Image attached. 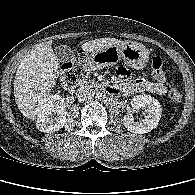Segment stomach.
<instances>
[{"label": "stomach", "instance_id": "1", "mask_svg": "<svg viewBox=\"0 0 195 195\" xmlns=\"http://www.w3.org/2000/svg\"><path fill=\"white\" fill-rule=\"evenodd\" d=\"M121 59L132 68L142 69L148 63L149 52L140 43L125 41L92 53L89 57V64L92 69L96 70L113 66Z\"/></svg>", "mask_w": 195, "mask_h": 195}]
</instances>
